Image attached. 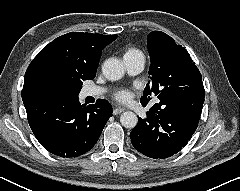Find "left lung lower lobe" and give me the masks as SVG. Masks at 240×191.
<instances>
[{
    "mask_svg": "<svg viewBox=\"0 0 240 191\" xmlns=\"http://www.w3.org/2000/svg\"><path fill=\"white\" fill-rule=\"evenodd\" d=\"M204 98L203 83L198 81L185 94L153 105L130 133L133 147L154 159L178 153L197 129Z\"/></svg>",
    "mask_w": 240,
    "mask_h": 191,
    "instance_id": "left-lung-lower-lobe-1",
    "label": "left lung lower lobe"
}]
</instances>
